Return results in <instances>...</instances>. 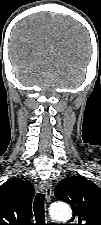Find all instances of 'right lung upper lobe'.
Wrapping results in <instances>:
<instances>
[{
    "label": "right lung upper lobe",
    "mask_w": 101,
    "mask_h": 225,
    "mask_svg": "<svg viewBox=\"0 0 101 225\" xmlns=\"http://www.w3.org/2000/svg\"><path fill=\"white\" fill-rule=\"evenodd\" d=\"M34 196L30 182L13 178L0 187V225H32Z\"/></svg>",
    "instance_id": "1"
}]
</instances>
